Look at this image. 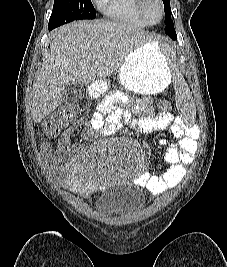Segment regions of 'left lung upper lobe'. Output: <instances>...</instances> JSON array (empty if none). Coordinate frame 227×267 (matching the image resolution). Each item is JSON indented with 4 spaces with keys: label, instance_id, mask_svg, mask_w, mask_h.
I'll return each instance as SVG.
<instances>
[{
    "label": "left lung upper lobe",
    "instance_id": "obj_1",
    "mask_svg": "<svg viewBox=\"0 0 227 267\" xmlns=\"http://www.w3.org/2000/svg\"><path fill=\"white\" fill-rule=\"evenodd\" d=\"M164 8H165V22L166 25H173V21L171 19V9H170V0H163Z\"/></svg>",
    "mask_w": 227,
    "mask_h": 267
}]
</instances>
